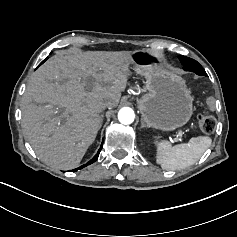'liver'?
<instances>
[{"label":"liver","instance_id":"6515ba94","mask_svg":"<svg viewBox=\"0 0 237 237\" xmlns=\"http://www.w3.org/2000/svg\"><path fill=\"white\" fill-rule=\"evenodd\" d=\"M134 63L132 53L79 52L54 56L22 97V128L38 158L60 169L77 167L99 130L100 102L119 104Z\"/></svg>","mask_w":237,"mask_h":237}]
</instances>
